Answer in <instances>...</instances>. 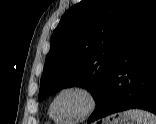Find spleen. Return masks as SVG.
<instances>
[{
    "label": "spleen",
    "instance_id": "obj_1",
    "mask_svg": "<svg viewBox=\"0 0 156 124\" xmlns=\"http://www.w3.org/2000/svg\"><path fill=\"white\" fill-rule=\"evenodd\" d=\"M123 116L126 119L133 120L135 124H156V116L143 110H127L123 112Z\"/></svg>",
    "mask_w": 156,
    "mask_h": 124
}]
</instances>
